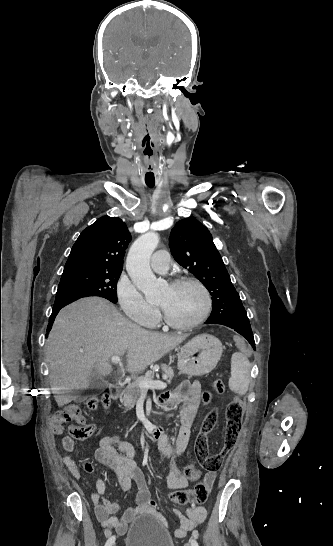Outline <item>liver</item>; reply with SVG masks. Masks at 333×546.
Segmentation results:
<instances>
[{"mask_svg":"<svg viewBox=\"0 0 333 546\" xmlns=\"http://www.w3.org/2000/svg\"><path fill=\"white\" fill-rule=\"evenodd\" d=\"M186 338L147 331L102 298H84L64 307L47 340L49 377L58 406L74 399L66 392L89 387L95 372L109 375L112 356L126 354V371L138 374Z\"/></svg>","mask_w":333,"mask_h":546,"instance_id":"obj_1","label":"liver"}]
</instances>
